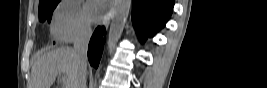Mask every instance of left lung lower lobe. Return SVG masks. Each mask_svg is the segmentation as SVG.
Returning <instances> with one entry per match:
<instances>
[{"mask_svg": "<svg viewBox=\"0 0 267 88\" xmlns=\"http://www.w3.org/2000/svg\"><path fill=\"white\" fill-rule=\"evenodd\" d=\"M174 0H132V20L141 41L165 26Z\"/></svg>", "mask_w": 267, "mask_h": 88, "instance_id": "1", "label": "left lung lower lobe"}]
</instances>
